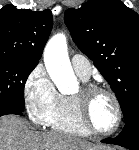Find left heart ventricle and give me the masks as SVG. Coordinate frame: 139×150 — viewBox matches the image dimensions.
Segmentation results:
<instances>
[{
	"instance_id": "b2bd125f",
	"label": "left heart ventricle",
	"mask_w": 139,
	"mask_h": 150,
	"mask_svg": "<svg viewBox=\"0 0 139 150\" xmlns=\"http://www.w3.org/2000/svg\"><path fill=\"white\" fill-rule=\"evenodd\" d=\"M90 119L100 131H108L116 122V109L112 99L106 94H98L90 103Z\"/></svg>"
}]
</instances>
